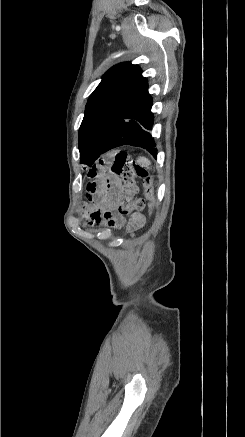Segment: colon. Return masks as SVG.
Instances as JSON below:
<instances>
[{"label": "colon", "mask_w": 245, "mask_h": 437, "mask_svg": "<svg viewBox=\"0 0 245 437\" xmlns=\"http://www.w3.org/2000/svg\"><path fill=\"white\" fill-rule=\"evenodd\" d=\"M114 165L111 171L122 177L124 188L119 197L118 213L126 216L134 211L142 210L145 207V201L138 198L135 178H141L145 187V193L148 199L154 200L153 178L149 171L137 165L131 156L125 152H119L113 159Z\"/></svg>", "instance_id": "obj_1"}]
</instances>
